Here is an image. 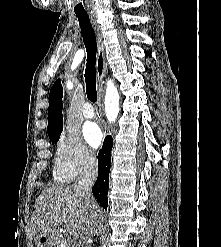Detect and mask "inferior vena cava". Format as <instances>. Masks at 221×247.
Here are the masks:
<instances>
[{"mask_svg":"<svg viewBox=\"0 0 221 247\" xmlns=\"http://www.w3.org/2000/svg\"><path fill=\"white\" fill-rule=\"evenodd\" d=\"M96 178V158L93 154H88L75 185L76 193L83 202L86 210V228L84 232L76 238L74 247H91L92 237L95 234L98 216L95 210L96 202L91 193V189Z\"/></svg>","mask_w":221,"mask_h":247,"instance_id":"inferior-vena-cava-1","label":"inferior vena cava"}]
</instances>
